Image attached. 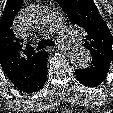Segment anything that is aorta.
<instances>
[{
  "label": "aorta",
  "mask_w": 113,
  "mask_h": 113,
  "mask_svg": "<svg viewBox=\"0 0 113 113\" xmlns=\"http://www.w3.org/2000/svg\"><path fill=\"white\" fill-rule=\"evenodd\" d=\"M71 63L80 69L86 68L90 65L92 57L90 52L84 47H75L69 53Z\"/></svg>",
  "instance_id": "762f6f07"
}]
</instances>
